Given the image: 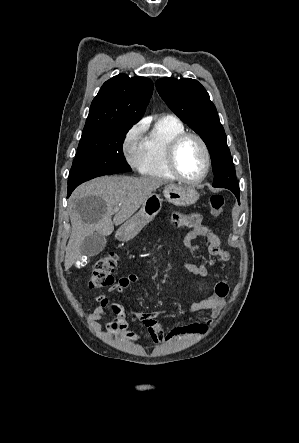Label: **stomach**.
I'll return each instance as SVG.
<instances>
[{
    "label": "stomach",
    "mask_w": 299,
    "mask_h": 443,
    "mask_svg": "<svg viewBox=\"0 0 299 443\" xmlns=\"http://www.w3.org/2000/svg\"><path fill=\"white\" fill-rule=\"evenodd\" d=\"M163 194L167 202L176 206H190L199 199L197 190L189 186L167 185ZM162 201L160 195L156 193L149 195L139 212L120 227L118 238L121 241H129L134 238L161 211Z\"/></svg>",
    "instance_id": "stomach-1"
}]
</instances>
